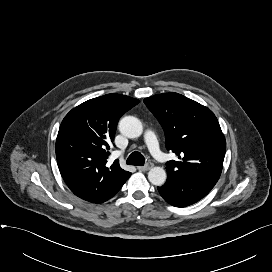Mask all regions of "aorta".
Listing matches in <instances>:
<instances>
[{"instance_id":"obj_1","label":"aorta","mask_w":272,"mask_h":272,"mask_svg":"<svg viewBox=\"0 0 272 272\" xmlns=\"http://www.w3.org/2000/svg\"><path fill=\"white\" fill-rule=\"evenodd\" d=\"M120 132L128 138H137L143 132L141 121L134 116H125L119 122ZM167 178L166 171L162 167H153L148 172L150 183L155 186H161Z\"/></svg>"}]
</instances>
